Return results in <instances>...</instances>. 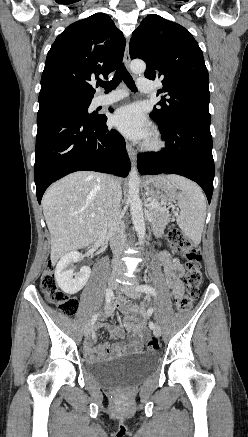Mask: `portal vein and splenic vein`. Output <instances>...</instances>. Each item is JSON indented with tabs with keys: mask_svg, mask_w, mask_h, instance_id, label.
<instances>
[{
	"mask_svg": "<svg viewBox=\"0 0 248 437\" xmlns=\"http://www.w3.org/2000/svg\"><path fill=\"white\" fill-rule=\"evenodd\" d=\"M150 205H151V206H158L159 203H157V202H152ZM94 216H95V214H91V217H94Z\"/></svg>",
	"mask_w": 248,
	"mask_h": 437,
	"instance_id": "1",
	"label": "portal vein and splenic vein"
}]
</instances>
